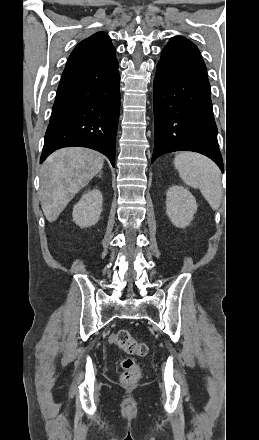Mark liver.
Listing matches in <instances>:
<instances>
[{
  "label": "liver",
  "mask_w": 259,
  "mask_h": 440,
  "mask_svg": "<svg viewBox=\"0 0 259 440\" xmlns=\"http://www.w3.org/2000/svg\"><path fill=\"white\" fill-rule=\"evenodd\" d=\"M103 164V155L82 147L60 149L46 159L40 175V201L49 222L57 220L73 197L102 170Z\"/></svg>",
  "instance_id": "6515ba94"
}]
</instances>
